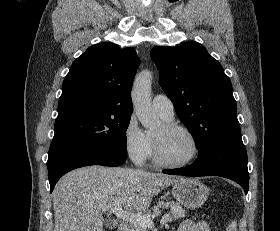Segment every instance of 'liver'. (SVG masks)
Listing matches in <instances>:
<instances>
[{
	"mask_svg": "<svg viewBox=\"0 0 280 231\" xmlns=\"http://www.w3.org/2000/svg\"><path fill=\"white\" fill-rule=\"evenodd\" d=\"M178 179L129 167L88 165L59 179L53 191L54 231H103L112 207L147 211L152 197Z\"/></svg>",
	"mask_w": 280,
	"mask_h": 231,
	"instance_id": "obj_1",
	"label": "liver"
}]
</instances>
